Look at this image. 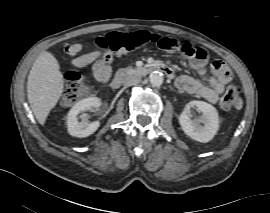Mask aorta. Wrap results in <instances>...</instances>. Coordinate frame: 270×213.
Instances as JSON below:
<instances>
[{"mask_svg": "<svg viewBox=\"0 0 270 213\" xmlns=\"http://www.w3.org/2000/svg\"><path fill=\"white\" fill-rule=\"evenodd\" d=\"M149 80H150L151 85H153L155 87H159L163 84L164 77H163V74L161 72L154 71L150 74Z\"/></svg>", "mask_w": 270, "mask_h": 213, "instance_id": "762f6f07", "label": "aorta"}]
</instances>
